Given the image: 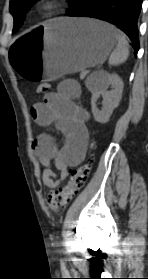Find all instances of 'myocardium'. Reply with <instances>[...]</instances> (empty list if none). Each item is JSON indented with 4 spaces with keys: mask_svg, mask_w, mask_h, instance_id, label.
<instances>
[{
    "mask_svg": "<svg viewBox=\"0 0 148 279\" xmlns=\"http://www.w3.org/2000/svg\"><path fill=\"white\" fill-rule=\"evenodd\" d=\"M63 6V0H40L37 7L44 12L55 11Z\"/></svg>",
    "mask_w": 148,
    "mask_h": 279,
    "instance_id": "obj_1",
    "label": "myocardium"
}]
</instances>
